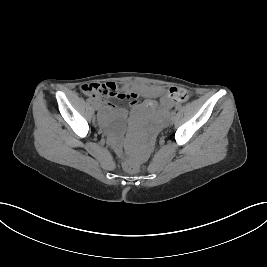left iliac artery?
<instances>
[{"instance_id":"1","label":"left iliac artery","mask_w":267,"mask_h":267,"mask_svg":"<svg viewBox=\"0 0 267 267\" xmlns=\"http://www.w3.org/2000/svg\"><path fill=\"white\" fill-rule=\"evenodd\" d=\"M175 115V111H171L170 117H173Z\"/></svg>"}]
</instances>
